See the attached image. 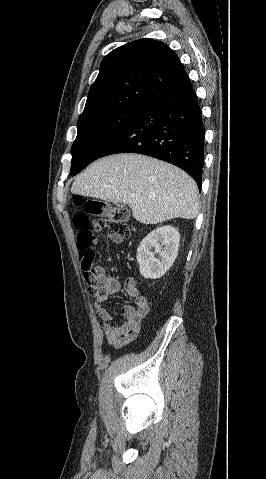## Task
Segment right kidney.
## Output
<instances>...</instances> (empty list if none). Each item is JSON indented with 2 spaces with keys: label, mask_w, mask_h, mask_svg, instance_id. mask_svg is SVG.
Returning a JSON list of instances; mask_svg holds the SVG:
<instances>
[{
  "label": "right kidney",
  "mask_w": 266,
  "mask_h": 479,
  "mask_svg": "<svg viewBox=\"0 0 266 479\" xmlns=\"http://www.w3.org/2000/svg\"><path fill=\"white\" fill-rule=\"evenodd\" d=\"M179 241L180 234L172 226H162L150 232L137 249L140 274L146 279L162 277L178 255ZM152 248L155 252L151 251ZM155 253L159 254V259Z\"/></svg>",
  "instance_id": "right-kidney-1"
}]
</instances>
